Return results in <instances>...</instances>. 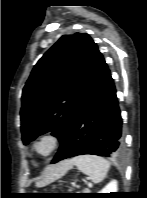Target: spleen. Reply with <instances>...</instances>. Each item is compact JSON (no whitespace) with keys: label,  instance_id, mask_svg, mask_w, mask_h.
Wrapping results in <instances>:
<instances>
[{"label":"spleen","instance_id":"1","mask_svg":"<svg viewBox=\"0 0 147 198\" xmlns=\"http://www.w3.org/2000/svg\"><path fill=\"white\" fill-rule=\"evenodd\" d=\"M72 160L77 169L88 175L93 183L102 182L110 168L109 161L96 155H80Z\"/></svg>","mask_w":147,"mask_h":198}]
</instances>
